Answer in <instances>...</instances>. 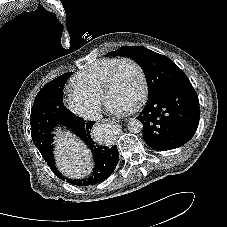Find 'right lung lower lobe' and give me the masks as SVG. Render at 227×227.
<instances>
[{"mask_svg": "<svg viewBox=\"0 0 227 227\" xmlns=\"http://www.w3.org/2000/svg\"><path fill=\"white\" fill-rule=\"evenodd\" d=\"M94 123V121L85 122L82 118L77 117L74 114L72 118L63 123V125L68 130L74 132L77 136H79L93 153L95 168L91 176H89L88 178L68 179L64 177L55 166V161L52 153L53 146H51L50 152L47 155L43 156L48 166L61 180L78 186L94 185L105 180L115 170L119 160L118 149L116 146H100L92 140L90 133Z\"/></svg>", "mask_w": 227, "mask_h": 227, "instance_id": "1", "label": "right lung lower lobe"}]
</instances>
